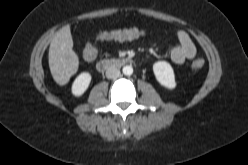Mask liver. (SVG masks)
<instances>
[{
    "instance_id": "1",
    "label": "liver",
    "mask_w": 248,
    "mask_h": 165,
    "mask_svg": "<svg viewBox=\"0 0 248 165\" xmlns=\"http://www.w3.org/2000/svg\"><path fill=\"white\" fill-rule=\"evenodd\" d=\"M70 26L59 29L51 40L48 54L49 68L54 81L65 85L77 72L79 59L73 51Z\"/></svg>"
}]
</instances>
